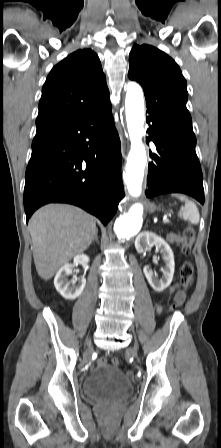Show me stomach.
Wrapping results in <instances>:
<instances>
[{"mask_svg": "<svg viewBox=\"0 0 221 448\" xmlns=\"http://www.w3.org/2000/svg\"><path fill=\"white\" fill-rule=\"evenodd\" d=\"M149 210H150V212H154V211L156 210V206L153 205V204H151V205L149 206Z\"/></svg>", "mask_w": 221, "mask_h": 448, "instance_id": "0dacf381", "label": "stomach"}]
</instances>
